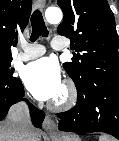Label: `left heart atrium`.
<instances>
[{"instance_id": "obj_1", "label": "left heart atrium", "mask_w": 119, "mask_h": 141, "mask_svg": "<svg viewBox=\"0 0 119 141\" xmlns=\"http://www.w3.org/2000/svg\"><path fill=\"white\" fill-rule=\"evenodd\" d=\"M22 78L29 91L39 100L54 99L62 89L60 68L50 58H41L27 65Z\"/></svg>"}]
</instances>
